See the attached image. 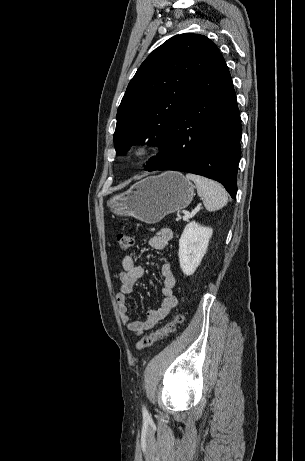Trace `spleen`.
<instances>
[{"instance_id": "3e777b00", "label": "spleen", "mask_w": 305, "mask_h": 461, "mask_svg": "<svg viewBox=\"0 0 305 461\" xmlns=\"http://www.w3.org/2000/svg\"><path fill=\"white\" fill-rule=\"evenodd\" d=\"M186 179L195 183L197 193L203 200L207 211L219 210L227 204V192L219 183L195 174H186Z\"/></svg>"}]
</instances>
